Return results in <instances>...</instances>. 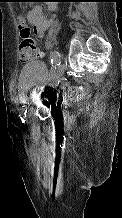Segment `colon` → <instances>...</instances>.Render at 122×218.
Wrapping results in <instances>:
<instances>
[{
	"instance_id": "5ec220e1",
	"label": "colon",
	"mask_w": 122,
	"mask_h": 218,
	"mask_svg": "<svg viewBox=\"0 0 122 218\" xmlns=\"http://www.w3.org/2000/svg\"><path fill=\"white\" fill-rule=\"evenodd\" d=\"M20 46L19 58L21 61H29L38 57V48L31 36V29L26 23L20 24ZM88 95L87 87H72L66 92V97L70 101L83 100Z\"/></svg>"
}]
</instances>
